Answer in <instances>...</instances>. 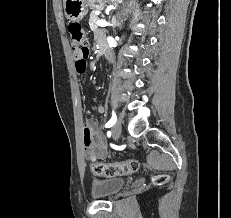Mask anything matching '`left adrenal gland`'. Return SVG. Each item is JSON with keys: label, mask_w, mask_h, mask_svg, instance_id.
Instances as JSON below:
<instances>
[{"label": "left adrenal gland", "mask_w": 231, "mask_h": 218, "mask_svg": "<svg viewBox=\"0 0 231 218\" xmlns=\"http://www.w3.org/2000/svg\"><path fill=\"white\" fill-rule=\"evenodd\" d=\"M115 26H116V23L114 22V23H113V27H115Z\"/></svg>", "instance_id": "obj_1"}]
</instances>
